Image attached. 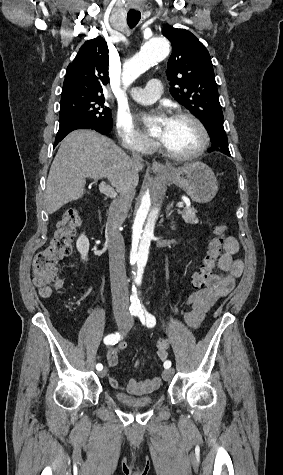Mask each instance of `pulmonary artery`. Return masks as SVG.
Masks as SVG:
<instances>
[{
	"label": "pulmonary artery",
	"mask_w": 283,
	"mask_h": 475,
	"mask_svg": "<svg viewBox=\"0 0 283 475\" xmlns=\"http://www.w3.org/2000/svg\"><path fill=\"white\" fill-rule=\"evenodd\" d=\"M162 87V80H148L146 87H139L133 91L136 94L133 99L143 104L154 102L162 94Z\"/></svg>",
	"instance_id": "pulmonary-artery-1"
}]
</instances>
